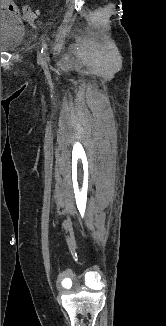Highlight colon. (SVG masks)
I'll use <instances>...</instances> for the list:
<instances>
[{
    "label": "colon",
    "instance_id": "colon-1",
    "mask_svg": "<svg viewBox=\"0 0 166 326\" xmlns=\"http://www.w3.org/2000/svg\"><path fill=\"white\" fill-rule=\"evenodd\" d=\"M23 12H24L25 18L29 21H33L37 16V13L28 6L23 7Z\"/></svg>",
    "mask_w": 166,
    "mask_h": 326
}]
</instances>
